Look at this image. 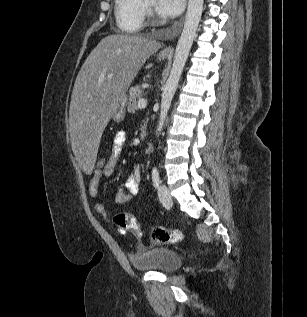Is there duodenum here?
Here are the masks:
<instances>
[{
    "mask_svg": "<svg viewBox=\"0 0 307 317\" xmlns=\"http://www.w3.org/2000/svg\"><path fill=\"white\" fill-rule=\"evenodd\" d=\"M146 135H147V127H146V125H143V126L141 127L140 136H141L142 139H144V138L146 137Z\"/></svg>",
    "mask_w": 307,
    "mask_h": 317,
    "instance_id": "obj_1",
    "label": "duodenum"
}]
</instances>
